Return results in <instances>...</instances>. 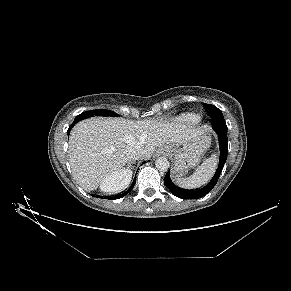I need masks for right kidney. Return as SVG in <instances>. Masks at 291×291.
Wrapping results in <instances>:
<instances>
[{
  "mask_svg": "<svg viewBox=\"0 0 291 291\" xmlns=\"http://www.w3.org/2000/svg\"><path fill=\"white\" fill-rule=\"evenodd\" d=\"M132 172L129 169H122L105 177L100 185V189L106 193L121 191L129 182Z\"/></svg>",
  "mask_w": 291,
  "mask_h": 291,
  "instance_id": "right-kidney-1",
  "label": "right kidney"
}]
</instances>
